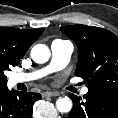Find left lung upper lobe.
I'll return each instance as SVG.
<instances>
[{"instance_id":"obj_1","label":"left lung upper lobe","mask_w":118,"mask_h":118,"mask_svg":"<svg viewBox=\"0 0 118 118\" xmlns=\"http://www.w3.org/2000/svg\"><path fill=\"white\" fill-rule=\"evenodd\" d=\"M60 29L78 47L75 75L83 78L89 91L118 96V37L93 26L71 25Z\"/></svg>"}]
</instances>
